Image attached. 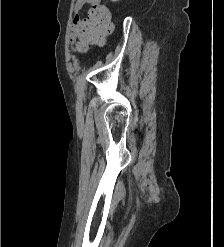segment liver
<instances>
[{"instance_id":"liver-1","label":"liver","mask_w":224,"mask_h":247,"mask_svg":"<svg viewBox=\"0 0 224 247\" xmlns=\"http://www.w3.org/2000/svg\"><path fill=\"white\" fill-rule=\"evenodd\" d=\"M111 2H119V0H111Z\"/></svg>"}]
</instances>
